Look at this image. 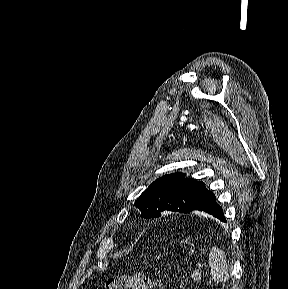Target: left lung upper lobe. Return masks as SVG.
Masks as SVG:
<instances>
[{
  "label": "left lung upper lobe",
  "mask_w": 288,
  "mask_h": 289,
  "mask_svg": "<svg viewBox=\"0 0 288 289\" xmlns=\"http://www.w3.org/2000/svg\"><path fill=\"white\" fill-rule=\"evenodd\" d=\"M205 184L184 173H172L155 180L137 199L135 206L144 218L159 217L163 211L189 213L208 193Z\"/></svg>",
  "instance_id": "left-lung-upper-lobe-1"
}]
</instances>
